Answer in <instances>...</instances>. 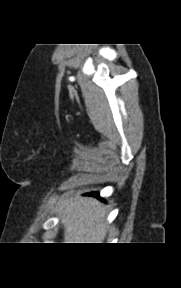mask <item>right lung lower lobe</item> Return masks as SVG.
I'll return each instance as SVG.
<instances>
[{
  "label": "right lung lower lobe",
  "mask_w": 181,
  "mask_h": 288,
  "mask_svg": "<svg viewBox=\"0 0 181 288\" xmlns=\"http://www.w3.org/2000/svg\"><path fill=\"white\" fill-rule=\"evenodd\" d=\"M89 195H92V196H99V194L96 193V192L90 193Z\"/></svg>",
  "instance_id": "obj_1"
}]
</instances>
